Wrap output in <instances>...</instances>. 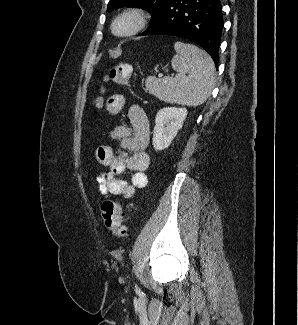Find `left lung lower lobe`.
Here are the masks:
<instances>
[{"label": "left lung lower lobe", "mask_w": 298, "mask_h": 325, "mask_svg": "<svg viewBox=\"0 0 298 325\" xmlns=\"http://www.w3.org/2000/svg\"><path fill=\"white\" fill-rule=\"evenodd\" d=\"M222 29L220 0H169L140 35H172L189 39L205 49L217 67Z\"/></svg>", "instance_id": "0a47b994"}]
</instances>
